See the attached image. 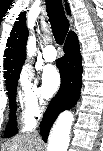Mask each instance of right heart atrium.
Instances as JSON below:
<instances>
[{"mask_svg": "<svg viewBox=\"0 0 103 151\" xmlns=\"http://www.w3.org/2000/svg\"><path fill=\"white\" fill-rule=\"evenodd\" d=\"M20 98L24 114L34 119L41 114L46 102L35 82L28 76H24L20 83Z\"/></svg>", "mask_w": 103, "mask_h": 151, "instance_id": "d8ad5b80", "label": "right heart atrium"}]
</instances>
